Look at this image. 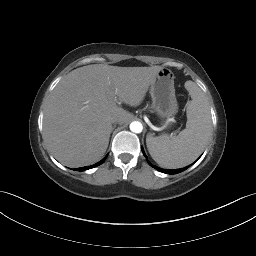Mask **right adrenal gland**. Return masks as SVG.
<instances>
[{
    "instance_id": "1",
    "label": "right adrenal gland",
    "mask_w": 256,
    "mask_h": 256,
    "mask_svg": "<svg viewBox=\"0 0 256 256\" xmlns=\"http://www.w3.org/2000/svg\"><path fill=\"white\" fill-rule=\"evenodd\" d=\"M115 127H116V125H114L113 130H114Z\"/></svg>"
}]
</instances>
